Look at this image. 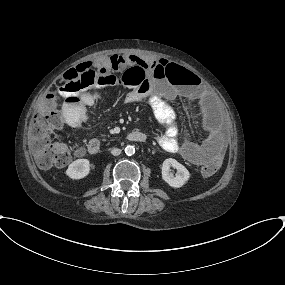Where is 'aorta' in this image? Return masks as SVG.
Segmentation results:
<instances>
[{
  "label": "aorta",
  "mask_w": 285,
  "mask_h": 285,
  "mask_svg": "<svg viewBox=\"0 0 285 285\" xmlns=\"http://www.w3.org/2000/svg\"><path fill=\"white\" fill-rule=\"evenodd\" d=\"M135 153L134 146L128 145L125 147V154L128 156H132Z\"/></svg>",
  "instance_id": "762f6f07"
}]
</instances>
